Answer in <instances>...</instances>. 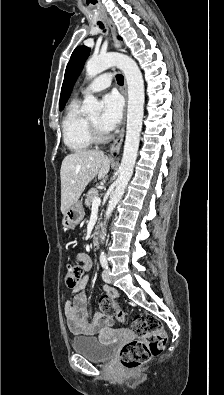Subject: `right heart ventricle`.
<instances>
[{
  "label": "right heart ventricle",
  "mask_w": 224,
  "mask_h": 395,
  "mask_svg": "<svg viewBox=\"0 0 224 395\" xmlns=\"http://www.w3.org/2000/svg\"><path fill=\"white\" fill-rule=\"evenodd\" d=\"M63 140L66 146L75 152H81L92 146L88 118L80 111V101L73 100L62 122Z\"/></svg>",
  "instance_id": "obj_1"
}]
</instances>
